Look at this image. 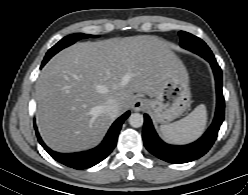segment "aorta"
<instances>
[{
  "label": "aorta",
  "mask_w": 248,
  "mask_h": 195,
  "mask_svg": "<svg viewBox=\"0 0 248 195\" xmlns=\"http://www.w3.org/2000/svg\"><path fill=\"white\" fill-rule=\"evenodd\" d=\"M144 118L140 113H133L129 117V124L134 128H139L143 125Z\"/></svg>",
  "instance_id": "1"
}]
</instances>
